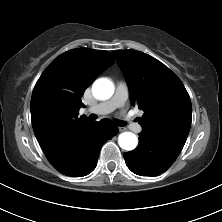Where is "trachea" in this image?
Wrapping results in <instances>:
<instances>
[{"instance_id":"trachea-1","label":"trachea","mask_w":222,"mask_h":222,"mask_svg":"<svg viewBox=\"0 0 222 222\" xmlns=\"http://www.w3.org/2000/svg\"><path fill=\"white\" fill-rule=\"evenodd\" d=\"M90 119H91V120H95V119H96V115L91 114V115H90ZM114 122H115V124H117L118 126H125V125H126V123H125L124 121H122V120H117V119H115Z\"/></svg>"}]
</instances>
